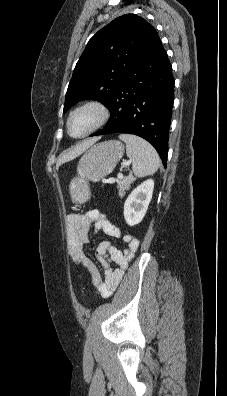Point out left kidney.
Masks as SVG:
<instances>
[{
  "mask_svg": "<svg viewBox=\"0 0 227 396\" xmlns=\"http://www.w3.org/2000/svg\"><path fill=\"white\" fill-rule=\"evenodd\" d=\"M154 181L148 179L137 186L124 203V218L129 226L139 224L144 218L152 199Z\"/></svg>",
  "mask_w": 227,
  "mask_h": 396,
  "instance_id": "obj_1",
  "label": "left kidney"
}]
</instances>
